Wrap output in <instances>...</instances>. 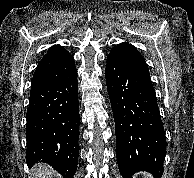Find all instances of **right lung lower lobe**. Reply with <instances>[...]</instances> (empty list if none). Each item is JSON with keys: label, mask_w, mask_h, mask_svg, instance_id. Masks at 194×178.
Masks as SVG:
<instances>
[{"label": "right lung lower lobe", "mask_w": 194, "mask_h": 178, "mask_svg": "<svg viewBox=\"0 0 194 178\" xmlns=\"http://www.w3.org/2000/svg\"><path fill=\"white\" fill-rule=\"evenodd\" d=\"M26 120L28 166L48 163L63 178H73L80 123L76 70L60 81L31 87Z\"/></svg>", "instance_id": "98d812e1"}]
</instances>
